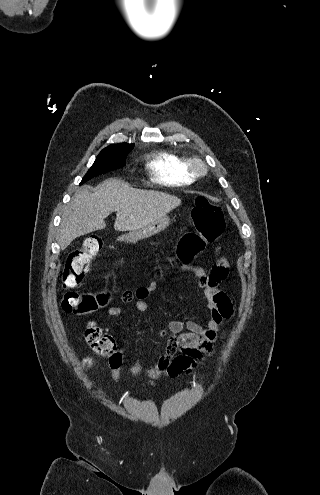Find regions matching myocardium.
Wrapping results in <instances>:
<instances>
[{
    "instance_id": "f54148a6",
    "label": "myocardium",
    "mask_w": 320,
    "mask_h": 495,
    "mask_svg": "<svg viewBox=\"0 0 320 495\" xmlns=\"http://www.w3.org/2000/svg\"><path fill=\"white\" fill-rule=\"evenodd\" d=\"M187 167L194 176H202L207 171L206 163L199 157L193 156L187 159Z\"/></svg>"
}]
</instances>
